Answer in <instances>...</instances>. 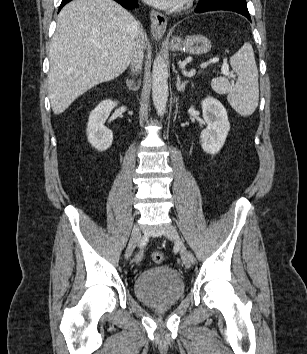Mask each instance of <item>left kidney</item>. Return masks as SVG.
<instances>
[{
    "label": "left kidney",
    "instance_id": "obj_1",
    "mask_svg": "<svg viewBox=\"0 0 307 354\" xmlns=\"http://www.w3.org/2000/svg\"><path fill=\"white\" fill-rule=\"evenodd\" d=\"M203 118L207 127L202 130L200 139L202 149L211 155L217 154L223 147L230 124L227 111L215 98L207 97L201 102Z\"/></svg>",
    "mask_w": 307,
    "mask_h": 354
}]
</instances>
